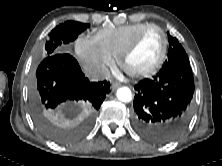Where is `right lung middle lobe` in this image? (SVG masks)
<instances>
[{"instance_id":"1","label":"right lung middle lobe","mask_w":222,"mask_h":166,"mask_svg":"<svg viewBox=\"0 0 222 166\" xmlns=\"http://www.w3.org/2000/svg\"><path fill=\"white\" fill-rule=\"evenodd\" d=\"M89 24H84L76 21H67L56 26L50 33L48 41L45 44L46 55L57 53L59 46L68 44L74 41L77 36L83 32ZM33 119L38 129L49 138L59 141L67 142L62 138L63 131L54 124V118L44 115L42 112H33Z\"/></svg>"}]
</instances>
